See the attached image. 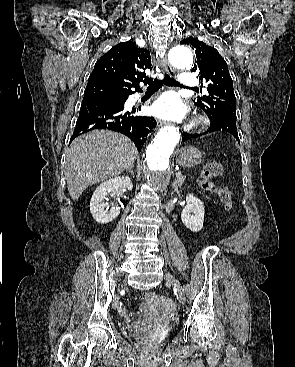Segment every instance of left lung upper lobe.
Segmentation results:
<instances>
[{
  "instance_id": "5c2ea615",
  "label": "left lung upper lobe",
  "mask_w": 295,
  "mask_h": 367,
  "mask_svg": "<svg viewBox=\"0 0 295 367\" xmlns=\"http://www.w3.org/2000/svg\"><path fill=\"white\" fill-rule=\"evenodd\" d=\"M181 44L191 46L196 53V64L191 72H198L201 83L207 85L208 95L198 96L196 105L210 119L232 117L236 119L233 81L226 61L219 52L195 37H187Z\"/></svg>"
}]
</instances>
